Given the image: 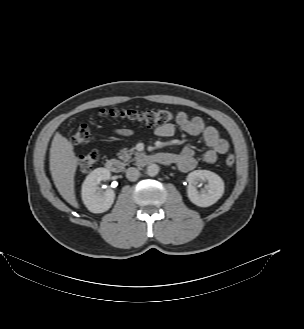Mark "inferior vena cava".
I'll use <instances>...</instances> for the list:
<instances>
[{"mask_svg":"<svg viewBox=\"0 0 304 329\" xmlns=\"http://www.w3.org/2000/svg\"><path fill=\"white\" fill-rule=\"evenodd\" d=\"M140 176V172L135 167H130L126 170V177L130 181H136Z\"/></svg>","mask_w":304,"mask_h":329,"instance_id":"inferior-vena-cava-1","label":"inferior vena cava"}]
</instances>
